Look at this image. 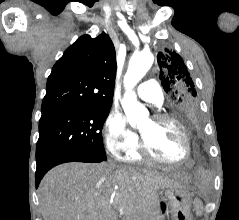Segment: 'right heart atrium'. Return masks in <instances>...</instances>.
<instances>
[{"label":"right heart atrium","instance_id":"1","mask_svg":"<svg viewBox=\"0 0 239 220\" xmlns=\"http://www.w3.org/2000/svg\"><path fill=\"white\" fill-rule=\"evenodd\" d=\"M103 137L108 151L117 159H122L138 144L137 136L127 127L125 117L115 109L108 113L104 121Z\"/></svg>","mask_w":239,"mask_h":220}]
</instances>
